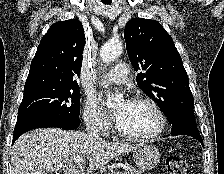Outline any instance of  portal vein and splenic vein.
<instances>
[{
    "label": "portal vein and splenic vein",
    "mask_w": 224,
    "mask_h": 174,
    "mask_svg": "<svg viewBox=\"0 0 224 174\" xmlns=\"http://www.w3.org/2000/svg\"><path fill=\"white\" fill-rule=\"evenodd\" d=\"M75 163H77L78 165H80L83 161H84V158L82 157H77L74 159ZM115 174H122V173H115Z\"/></svg>",
    "instance_id": "18ae733b"
}]
</instances>
